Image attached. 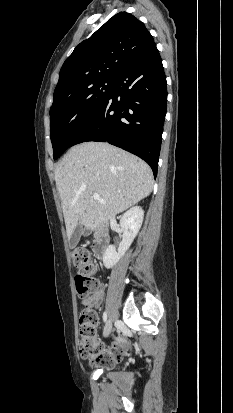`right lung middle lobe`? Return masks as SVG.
<instances>
[{
	"label": "right lung middle lobe",
	"instance_id": "dd1d6c3e",
	"mask_svg": "<svg viewBox=\"0 0 233 413\" xmlns=\"http://www.w3.org/2000/svg\"><path fill=\"white\" fill-rule=\"evenodd\" d=\"M114 88V78L98 80L62 97L50 109V138L57 159L94 119Z\"/></svg>",
	"mask_w": 233,
	"mask_h": 413
}]
</instances>
